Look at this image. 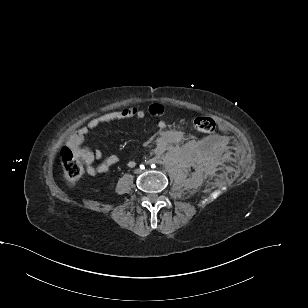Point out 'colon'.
Wrapping results in <instances>:
<instances>
[{
	"instance_id": "colon-1",
	"label": "colon",
	"mask_w": 308,
	"mask_h": 308,
	"mask_svg": "<svg viewBox=\"0 0 308 308\" xmlns=\"http://www.w3.org/2000/svg\"><path fill=\"white\" fill-rule=\"evenodd\" d=\"M194 127L202 133H212L215 130L216 123L213 118L207 115H200L193 120ZM63 174L65 180L70 185H75L83 175L82 162L77 159L69 147H64L60 153Z\"/></svg>"
}]
</instances>
